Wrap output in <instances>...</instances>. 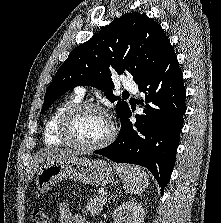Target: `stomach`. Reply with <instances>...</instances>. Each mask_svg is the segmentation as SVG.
I'll return each instance as SVG.
<instances>
[{
    "mask_svg": "<svg viewBox=\"0 0 221 223\" xmlns=\"http://www.w3.org/2000/svg\"><path fill=\"white\" fill-rule=\"evenodd\" d=\"M105 186L114 179L113 168L104 160H92L85 157H68L44 164L36 176V186L41 193L48 192L61 180Z\"/></svg>",
    "mask_w": 221,
    "mask_h": 223,
    "instance_id": "obj_1",
    "label": "stomach"
}]
</instances>
